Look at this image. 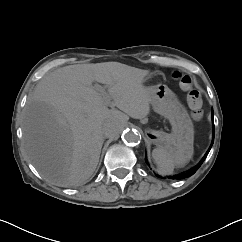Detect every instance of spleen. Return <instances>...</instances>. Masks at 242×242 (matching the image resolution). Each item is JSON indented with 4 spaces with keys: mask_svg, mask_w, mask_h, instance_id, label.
Segmentation results:
<instances>
[{
    "mask_svg": "<svg viewBox=\"0 0 242 242\" xmlns=\"http://www.w3.org/2000/svg\"><path fill=\"white\" fill-rule=\"evenodd\" d=\"M152 156L157 164L158 171L162 174H171L175 166H184L188 161L180 159V151H167L162 148H155Z\"/></svg>",
    "mask_w": 242,
    "mask_h": 242,
    "instance_id": "obj_1",
    "label": "spleen"
}]
</instances>
